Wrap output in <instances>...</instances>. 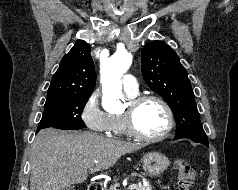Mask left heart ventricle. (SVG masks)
I'll use <instances>...</instances> for the list:
<instances>
[{
  "instance_id": "obj_1",
  "label": "left heart ventricle",
  "mask_w": 238,
  "mask_h": 190,
  "mask_svg": "<svg viewBox=\"0 0 238 190\" xmlns=\"http://www.w3.org/2000/svg\"><path fill=\"white\" fill-rule=\"evenodd\" d=\"M135 122L140 132L156 136L166 129L168 118L163 107L158 102L150 100L137 109Z\"/></svg>"
}]
</instances>
